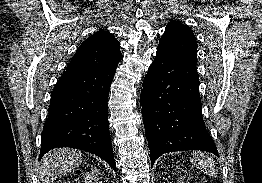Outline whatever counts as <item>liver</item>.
<instances>
[{
  "label": "liver",
  "instance_id": "6515ba94",
  "mask_svg": "<svg viewBox=\"0 0 262 183\" xmlns=\"http://www.w3.org/2000/svg\"><path fill=\"white\" fill-rule=\"evenodd\" d=\"M82 162V153L75 149L59 148L47 153L39 168V178L43 183H49L57 176L64 175Z\"/></svg>",
  "mask_w": 262,
  "mask_h": 183
}]
</instances>
